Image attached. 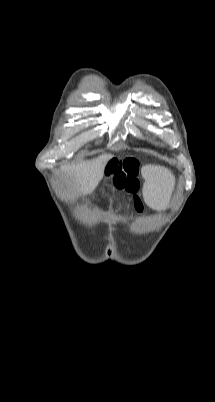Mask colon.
Wrapping results in <instances>:
<instances>
[{
  "label": "colon",
  "instance_id": "obj_1",
  "mask_svg": "<svg viewBox=\"0 0 215 402\" xmlns=\"http://www.w3.org/2000/svg\"><path fill=\"white\" fill-rule=\"evenodd\" d=\"M138 172L139 165L136 159L124 157L122 160L120 156H111L106 163L103 176L106 179L112 178L113 186L116 189L132 194L136 208L140 209Z\"/></svg>",
  "mask_w": 215,
  "mask_h": 402
}]
</instances>
